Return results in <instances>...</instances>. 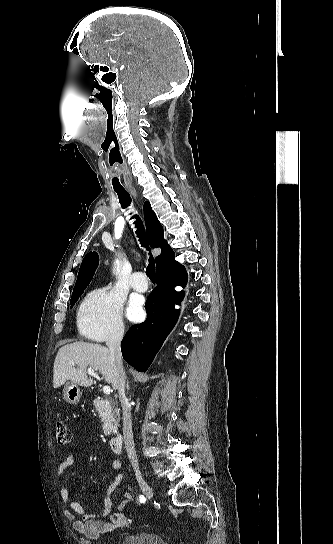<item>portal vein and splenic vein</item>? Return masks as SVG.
Segmentation results:
<instances>
[{
    "label": "portal vein and splenic vein",
    "instance_id": "1",
    "mask_svg": "<svg viewBox=\"0 0 333 544\" xmlns=\"http://www.w3.org/2000/svg\"><path fill=\"white\" fill-rule=\"evenodd\" d=\"M71 366H75L74 363L71 364ZM87 373L91 376H93L94 378H96L97 380H100V377L98 376L97 373H95L91 368H88L87 370ZM103 392L105 394H110L111 393V388L109 386H103Z\"/></svg>",
    "mask_w": 333,
    "mask_h": 544
}]
</instances>
